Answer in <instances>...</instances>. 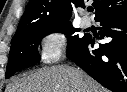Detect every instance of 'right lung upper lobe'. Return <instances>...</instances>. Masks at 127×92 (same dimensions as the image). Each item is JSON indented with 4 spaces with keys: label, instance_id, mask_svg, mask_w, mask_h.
Returning a JSON list of instances; mask_svg holds the SVG:
<instances>
[{
    "label": "right lung upper lobe",
    "instance_id": "cb5924a9",
    "mask_svg": "<svg viewBox=\"0 0 127 92\" xmlns=\"http://www.w3.org/2000/svg\"><path fill=\"white\" fill-rule=\"evenodd\" d=\"M71 3L84 7V0H30L13 38L35 26H58L70 23ZM95 19L127 8V0H94ZM12 38V39H13Z\"/></svg>",
    "mask_w": 127,
    "mask_h": 92
}]
</instances>
